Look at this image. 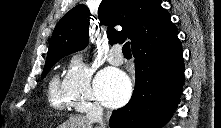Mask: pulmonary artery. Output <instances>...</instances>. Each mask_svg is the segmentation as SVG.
<instances>
[{
  "label": "pulmonary artery",
  "instance_id": "e3ab8cb5",
  "mask_svg": "<svg viewBox=\"0 0 221 128\" xmlns=\"http://www.w3.org/2000/svg\"><path fill=\"white\" fill-rule=\"evenodd\" d=\"M107 60L114 66H120L124 62L123 55L121 54V47L119 45H114L110 49Z\"/></svg>",
  "mask_w": 221,
  "mask_h": 128
}]
</instances>
